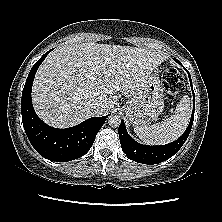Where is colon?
<instances>
[{"mask_svg": "<svg viewBox=\"0 0 222 222\" xmlns=\"http://www.w3.org/2000/svg\"><path fill=\"white\" fill-rule=\"evenodd\" d=\"M164 90L169 97H175L184 89V81L178 70L168 68L162 76Z\"/></svg>", "mask_w": 222, "mask_h": 222, "instance_id": "1", "label": "colon"}]
</instances>
